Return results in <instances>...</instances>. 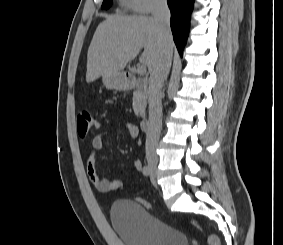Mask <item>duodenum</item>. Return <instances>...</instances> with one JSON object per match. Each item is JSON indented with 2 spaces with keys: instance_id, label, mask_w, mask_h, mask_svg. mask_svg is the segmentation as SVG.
<instances>
[{
  "instance_id": "410a0bca",
  "label": "duodenum",
  "mask_w": 283,
  "mask_h": 245,
  "mask_svg": "<svg viewBox=\"0 0 283 245\" xmlns=\"http://www.w3.org/2000/svg\"><path fill=\"white\" fill-rule=\"evenodd\" d=\"M141 83L140 79L134 74L128 73L124 78V88L133 89ZM140 127L143 131L148 130L149 128V118L146 115H143L140 120Z\"/></svg>"
}]
</instances>
